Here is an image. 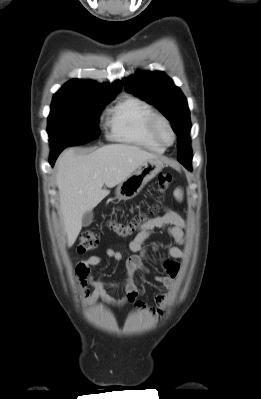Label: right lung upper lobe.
Instances as JSON below:
<instances>
[{"label": "right lung upper lobe", "mask_w": 261, "mask_h": 399, "mask_svg": "<svg viewBox=\"0 0 261 399\" xmlns=\"http://www.w3.org/2000/svg\"><path fill=\"white\" fill-rule=\"evenodd\" d=\"M122 89L121 81L100 85L95 81L72 79L54 95L53 99L81 100L91 98H114Z\"/></svg>", "instance_id": "right-lung-upper-lobe-1"}]
</instances>
